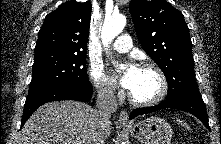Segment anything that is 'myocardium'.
Returning <instances> with one entry per match:
<instances>
[{"label":"myocardium","instance_id":"1","mask_svg":"<svg viewBox=\"0 0 221 144\" xmlns=\"http://www.w3.org/2000/svg\"><path fill=\"white\" fill-rule=\"evenodd\" d=\"M140 69L152 70L156 73L159 79V90H158V93L154 97L150 99H146V100L138 99L134 97L131 92H129L128 96H129L130 102L133 105L144 106V107L153 106V105L160 103L164 99L168 91V82H167L164 72L158 65L154 63H150V62L144 63Z\"/></svg>","mask_w":221,"mask_h":144}]
</instances>
